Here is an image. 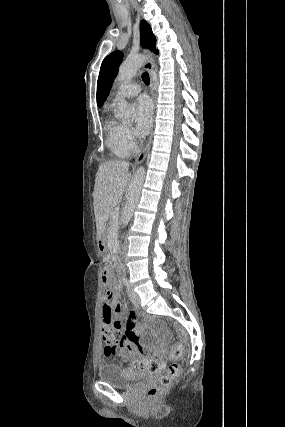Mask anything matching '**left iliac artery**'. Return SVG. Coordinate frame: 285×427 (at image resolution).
I'll return each instance as SVG.
<instances>
[{
    "label": "left iliac artery",
    "instance_id": "44dca946",
    "mask_svg": "<svg viewBox=\"0 0 285 427\" xmlns=\"http://www.w3.org/2000/svg\"><path fill=\"white\" fill-rule=\"evenodd\" d=\"M124 286L128 287L129 286V281L126 278L122 279Z\"/></svg>",
    "mask_w": 285,
    "mask_h": 427
}]
</instances>
